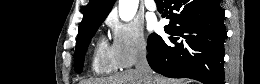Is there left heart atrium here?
Masks as SVG:
<instances>
[{"label":"left heart atrium","instance_id":"39dd6f15","mask_svg":"<svg viewBox=\"0 0 260 84\" xmlns=\"http://www.w3.org/2000/svg\"><path fill=\"white\" fill-rule=\"evenodd\" d=\"M151 26L153 27V26H154V23H152Z\"/></svg>","mask_w":260,"mask_h":84}]
</instances>
